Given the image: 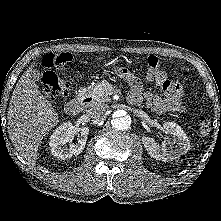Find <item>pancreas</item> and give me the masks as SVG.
<instances>
[{
	"label": "pancreas",
	"instance_id": "1",
	"mask_svg": "<svg viewBox=\"0 0 221 221\" xmlns=\"http://www.w3.org/2000/svg\"><path fill=\"white\" fill-rule=\"evenodd\" d=\"M113 93L114 89L112 85L107 81H102L86 89V94L90 96L94 102L97 103L109 102V95H112Z\"/></svg>",
	"mask_w": 221,
	"mask_h": 221
}]
</instances>
